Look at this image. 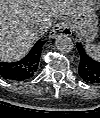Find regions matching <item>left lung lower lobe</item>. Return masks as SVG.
<instances>
[{"mask_svg":"<svg viewBox=\"0 0 100 118\" xmlns=\"http://www.w3.org/2000/svg\"><path fill=\"white\" fill-rule=\"evenodd\" d=\"M76 46L80 54L79 75L87 83H100V61L90 58L81 43H77Z\"/></svg>","mask_w":100,"mask_h":118,"instance_id":"0a47b994","label":"left lung lower lobe"}]
</instances>
